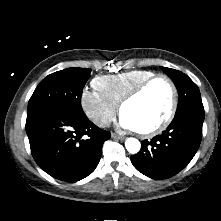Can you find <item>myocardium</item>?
Segmentation results:
<instances>
[{"instance_id": "f54148a6", "label": "myocardium", "mask_w": 221, "mask_h": 221, "mask_svg": "<svg viewBox=\"0 0 221 221\" xmlns=\"http://www.w3.org/2000/svg\"><path fill=\"white\" fill-rule=\"evenodd\" d=\"M158 80L164 81L170 89V106L166 116L160 123L146 130H136V132L142 137H153L155 135H158L159 133L163 132L172 122L178 107V91L173 80L165 74H155L135 86L122 98L119 103V111L122 114L125 105L139 97L151 84Z\"/></svg>"}]
</instances>
